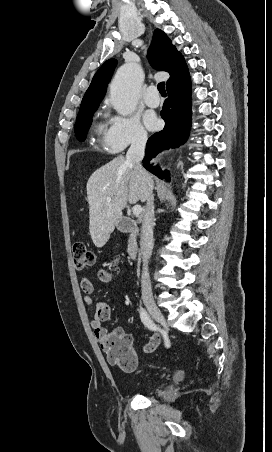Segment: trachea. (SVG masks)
Returning a JSON list of instances; mask_svg holds the SVG:
<instances>
[{"label": "trachea", "instance_id": "obj_1", "mask_svg": "<svg viewBox=\"0 0 272 452\" xmlns=\"http://www.w3.org/2000/svg\"><path fill=\"white\" fill-rule=\"evenodd\" d=\"M157 87H158V91L160 92V94L162 96H166L165 83L160 82Z\"/></svg>", "mask_w": 272, "mask_h": 452}]
</instances>
